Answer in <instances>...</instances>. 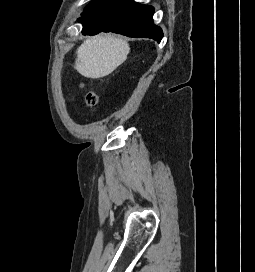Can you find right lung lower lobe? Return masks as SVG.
I'll use <instances>...</instances> for the list:
<instances>
[{
  "label": "right lung lower lobe",
  "instance_id": "1",
  "mask_svg": "<svg viewBox=\"0 0 255 272\" xmlns=\"http://www.w3.org/2000/svg\"><path fill=\"white\" fill-rule=\"evenodd\" d=\"M154 8L134 0H93L85 8L78 22L83 35L114 32L128 37L151 38L160 42L163 33L153 23Z\"/></svg>",
  "mask_w": 255,
  "mask_h": 272
}]
</instances>
